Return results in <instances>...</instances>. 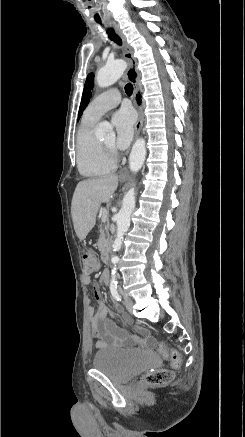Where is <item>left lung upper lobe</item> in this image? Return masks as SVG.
Here are the masks:
<instances>
[{"label": "left lung upper lobe", "mask_w": 245, "mask_h": 437, "mask_svg": "<svg viewBox=\"0 0 245 437\" xmlns=\"http://www.w3.org/2000/svg\"><path fill=\"white\" fill-rule=\"evenodd\" d=\"M93 84H94V73H90L87 76L86 83L84 85L82 100H81V104H80V108H79L78 120L80 119L82 112L84 111V109L86 108V106L88 105V103L90 101V98L92 96V93L90 90L93 88Z\"/></svg>", "instance_id": "left-lung-upper-lobe-1"}]
</instances>
